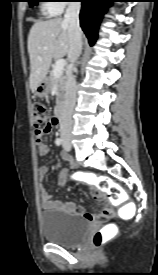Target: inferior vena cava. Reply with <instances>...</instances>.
Returning a JSON list of instances; mask_svg holds the SVG:
<instances>
[{
	"instance_id": "obj_1",
	"label": "inferior vena cava",
	"mask_w": 158,
	"mask_h": 275,
	"mask_svg": "<svg viewBox=\"0 0 158 275\" xmlns=\"http://www.w3.org/2000/svg\"><path fill=\"white\" fill-rule=\"evenodd\" d=\"M80 2H70L65 15L64 22L68 24L69 50L68 59L74 65L82 52V30L79 24ZM77 84L75 76L70 73L66 83L65 100L60 116V133L62 137L71 136L72 112L76 103Z\"/></svg>"
}]
</instances>
